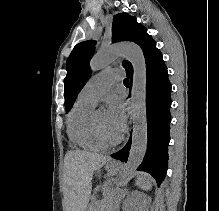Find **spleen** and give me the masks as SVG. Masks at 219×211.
Masks as SVG:
<instances>
[{
  "mask_svg": "<svg viewBox=\"0 0 219 211\" xmlns=\"http://www.w3.org/2000/svg\"><path fill=\"white\" fill-rule=\"evenodd\" d=\"M136 185L141 187V189H146V191L151 189L152 181L149 173H141V175H137Z\"/></svg>",
  "mask_w": 219,
  "mask_h": 211,
  "instance_id": "obj_1",
  "label": "spleen"
}]
</instances>
